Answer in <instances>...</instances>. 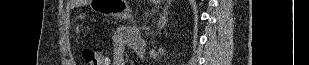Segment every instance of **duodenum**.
<instances>
[{
  "instance_id": "410a0bca",
  "label": "duodenum",
  "mask_w": 309,
  "mask_h": 65,
  "mask_svg": "<svg viewBox=\"0 0 309 65\" xmlns=\"http://www.w3.org/2000/svg\"><path fill=\"white\" fill-rule=\"evenodd\" d=\"M136 52H137L138 56L141 57V58H143L145 56V51H144L143 47H138L136 49Z\"/></svg>"
}]
</instances>
